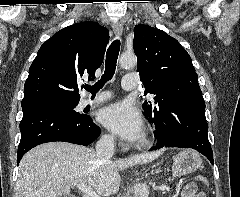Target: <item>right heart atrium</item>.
<instances>
[{
  "label": "right heart atrium",
  "mask_w": 240,
  "mask_h": 197,
  "mask_svg": "<svg viewBox=\"0 0 240 197\" xmlns=\"http://www.w3.org/2000/svg\"><path fill=\"white\" fill-rule=\"evenodd\" d=\"M103 140H104V142L107 143V144H112V143L114 142V136L111 135V134H105V135L103 136Z\"/></svg>",
  "instance_id": "right-heart-atrium-1"
}]
</instances>
